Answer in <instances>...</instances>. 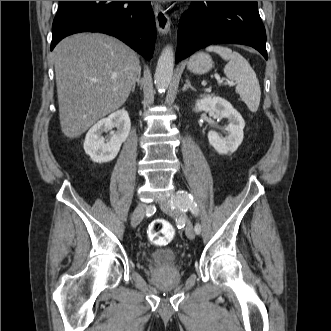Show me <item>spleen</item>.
<instances>
[{
  "mask_svg": "<svg viewBox=\"0 0 331 331\" xmlns=\"http://www.w3.org/2000/svg\"><path fill=\"white\" fill-rule=\"evenodd\" d=\"M208 52L219 54L228 61L224 67V74L236 81V91L251 112H256L260 104L261 90L256 73L249 62L238 52L221 45H211L206 48Z\"/></svg>",
  "mask_w": 331,
  "mask_h": 331,
  "instance_id": "obj_1",
  "label": "spleen"
}]
</instances>
